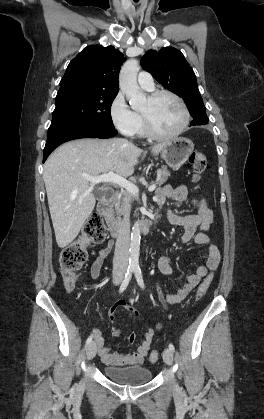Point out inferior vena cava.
<instances>
[{
	"mask_svg": "<svg viewBox=\"0 0 264 419\" xmlns=\"http://www.w3.org/2000/svg\"><path fill=\"white\" fill-rule=\"evenodd\" d=\"M123 219L118 225L113 268L125 272L129 259L130 219L129 208L122 206Z\"/></svg>",
	"mask_w": 264,
	"mask_h": 419,
	"instance_id": "obj_1",
	"label": "inferior vena cava"
}]
</instances>
